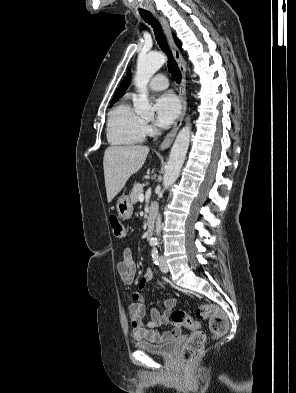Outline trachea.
Wrapping results in <instances>:
<instances>
[{
  "label": "trachea",
  "instance_id": "3493384b",
  "mask_svg": "<svg viewBox=\"0 0 296 393\" xmlns=\"http://www.w3.org/2000/svg\"><path fill=\"white\" fill-rule=\"evenodd\" d=\"M140 16L142 19L151 25L155 32L156 41L159 44L160 48L167 54L168 56V70L172 75L173 79L176 83L181 82V71L173 58V55L168 47L167 41L162 33V29L160 24L156 21V19L152 16L150 12H140Z\"/></svg>",
  "mask_w": 296,
  "mask_h": 393
}]
</instances>
